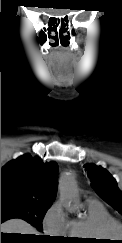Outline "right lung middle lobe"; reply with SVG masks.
Instances as JSON below:
<instances>
[{
    "label": "right lung middle lobe",
    "mask_w": 122,
    "mask_h": 243,
    "mask_svg": "<svg viewBox=\"0 0 122 243\" xmlns=\"http://www.w3.org/2000/svg\"><path fill=\"white\" fill-rule=\"evenodd\" d=\"M51 202H40L17 196H1V220L21 218L39 231H43L42 220ZM42 239H45L43 236Z\"/></svg>",
    "instance_id": "dd1d6c3e"
}]
</instances>
